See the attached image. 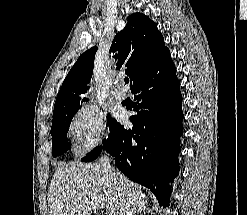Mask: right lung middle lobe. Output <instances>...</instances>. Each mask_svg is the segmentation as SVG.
Masks as SVG:
<instances>
[{
  "instance_id": "right-lung-middle-lobe-1",
  "label": "right lung middle lobe",
  "mask_w": 247,
  "mask_h": 215,
  "mask_svg": "<svg viewBox=\"0 0 247 215\" xmlns=\"http://www.w3.org/2000/svg\"><path fill=\"white\" fill-rule=\"evenodd\" d=\"M79 108L80 103L70 108L61 110L56 114H53L51 136L53 139L52 155L54 157L61 155L68 150L70 144L67 142V132L71 120ZM112 120L113 119H111L110 117L107 118V121L109 123H111Z\"/></svg>"
}]
</instances>
